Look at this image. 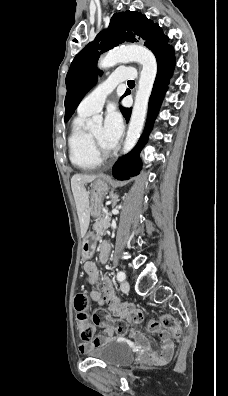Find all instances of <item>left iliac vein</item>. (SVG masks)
Wrapping results in <instances>:
<instances>
[{
  "label": "left iliac vein",
  "mask_w": 228,
  "mask_h": 396,
  "mask_svg": "<svg viewBox=\"0 0 228 396\" xmlns=\"http://www.w3.org/2000/svg\"><path fill=\"white\" fill-rule=\"evenodd\" d=\"M129 289H130L129 283H128L127 281H123V282L121 283V290H122V292L128 293V292H129Z\"/></svg>",
  "instance_id": "obj_1"
}]
</instances>
